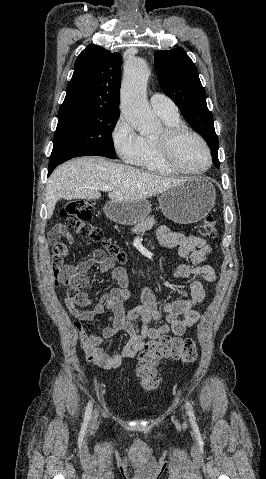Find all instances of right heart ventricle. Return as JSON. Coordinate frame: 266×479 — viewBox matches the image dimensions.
<instances>
[{
    "label": "right heart ventricle",
    "mask_w": 266,
    "mask_h": 479,
    "mask_svg": "<svg viewBox=\"0 0 266 479\" xmlns=\"http://www.w3.org/2000/svg\"><path fill=\"white\" fill-rule=\"evenodd\" d=\"M159 115V114H158ZM166 126H180L183 125L179 115L177 116H165L159 115ZM140 169L158 175H173L175 174L169 167L162 161L156 137H142V151L139 157L134 162Z\"/></svg>",
    "instance_id": "1"
}]
</instances>
